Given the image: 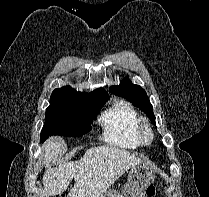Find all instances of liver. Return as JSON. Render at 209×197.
<instances>
[{
	"mask_svg": "<svg viewBox=\"0 0 209 197\" xmlns=\"http://www.w3.org/2000/svg\"><path fill=\"white\" fill-rule=\"evenodd\" d=\"M65 142L60 137H50L42 145V163L46 172L43 175L41 197L56 196L67 190L72 179L74 187L68 197H99L125 171L143 163L126 150L111 145L92 147L86 150L78 161H69L51 167L57 160L59 153L64 149Z\"/></svg>",
	"mask_w": 209,
	"mask_h": 197,
	"instance_id": "6515ba94",
	"label": "liver"
}]
</instances>
